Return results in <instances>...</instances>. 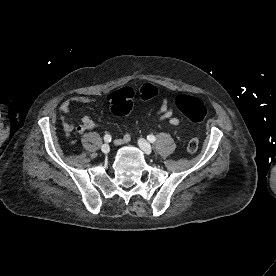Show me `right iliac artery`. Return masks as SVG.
<instances>
[{
	"label": "right iliac artery",
	"instance_id": "obj_1",
	"mask_svg": "<svg viewBox=\"0 0 276 276\" xmlns=\"http://www.w3.org/2000/svg\"><path fill=\"white\" fill-rule=\"evenodd\" d=\"M111 139H112V137H111V135H109V134H106V135L104 136V141H105V142H110Z\"/></svg>",
	"mask_w": 276,
	"mask_h": 276
}]
</instances>
